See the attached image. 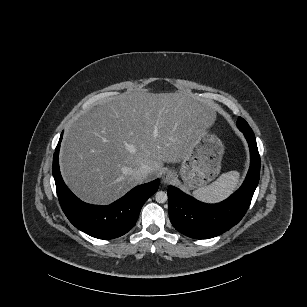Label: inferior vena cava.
<instances>
[{
  "instance_id": "602c4592",
  "label": "inferior vena cava",
  "mask_w": 307,
  "mask_h": 307,
  "mask_svg": "<svg viewBox=\"0 0 307 307\" xmlns=\"http://www.w3.org/2000/svg\"><path fill=\"white\" fill-rule=\"evenodd\" d=\"M149 174V167L147 165H141L136 171L133 172V176L137 182H143Z\"/></svg>"
}]
</instances>
